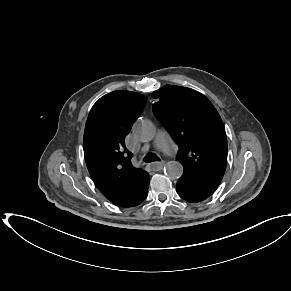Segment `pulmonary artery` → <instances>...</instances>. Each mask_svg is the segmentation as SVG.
Returning a JSON list of instances; mask_svg holds the SVG:
<instances>
[{
	"instance_id": "e3ab8cb5",
	"label": "pulmonary artery",
	"mask_w": 291,
	"mask_h": 291,
	"mask_svg": "<svg viewBox=\"0 0 291 291\" xmlns=\"http://www.w3.org/2000/svg\"><path fill=\"white\" fill-rule=\"evenodd\" d=\"M155 146L157 149L168 155L174 154L177 150L176 145L170 138L169 134L163 129L159 130L157 133Z\"/></svg>"
}]
</instances>
